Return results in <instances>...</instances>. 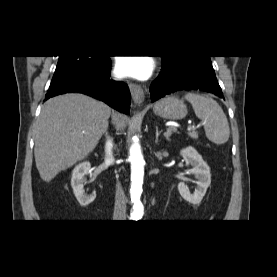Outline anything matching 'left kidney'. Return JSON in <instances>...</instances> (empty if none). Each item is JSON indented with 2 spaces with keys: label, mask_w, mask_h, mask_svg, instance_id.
I'll list each match as a JSON object with an SVG mask.
<instances>
[{
  "label": "left kidney",
  "mask_w": 277,
  "mask_h": 277,
  "mask_svg": "<svg viewBox=\"0 0 277 277\" xmlns=\"http://www.w3.org/2000/svg\"><path fill=\"white\" fill-rule=\"evenodd\" d=\"M180 155L184 158L186 165H191L189 173L193 174L197 179L195 181L197 187L193 193H190L188 186L184 182L178 184L180 195L189 203L197 205L203 199L207 188L211 184L210 167L202 159V156L191 146L182 149Z\"/></svg>",
  "instance_id": "1"
}]
</instances>
